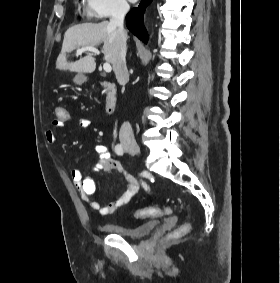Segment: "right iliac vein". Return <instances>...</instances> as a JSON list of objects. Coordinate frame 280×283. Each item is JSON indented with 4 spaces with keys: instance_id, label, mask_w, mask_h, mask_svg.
Returning a JSON list of instances; mask_svg holds the SVG:
<instances>
[{
    "instance_id": "1",
    "label": "right iliac vein",
    "mask_w": 280,
    "mask_h": 283,
    "mask_svg": "<svg viewBox=\"0 0 280 283\" xmlns=\"http://www.w3.org/2000/svg\"><path fill=\"white\" fill-rule=\"evenodd\" d=\"M126 150L134 155H140V149L136 145H126Z\"/></svg>"
}]
</instances>
